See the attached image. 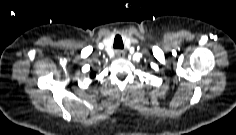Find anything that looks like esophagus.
<instances>
[{"label": "esophagus", "mask_w": 236, "mask_h": 135, "mask_svg": "<svg viewBox=\"0 0 236 135\" xmlns=\"http://www.w3.org/2000/svg\"><path fill=\"white\" fill-rule=\"evenodd\" d=\"M115 54L118 58H124L125 57V52L123 50H117L115 52Z\"/></svg>", "instance_id": "34e87169"}]
</instances>
